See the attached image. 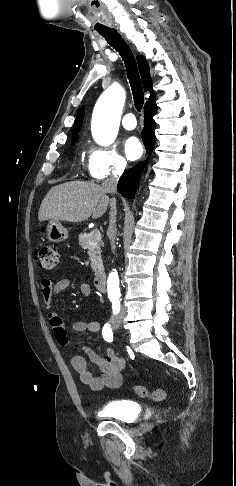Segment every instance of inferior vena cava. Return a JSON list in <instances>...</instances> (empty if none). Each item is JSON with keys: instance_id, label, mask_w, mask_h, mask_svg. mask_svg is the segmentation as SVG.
Listing matches in <instances>:
<instances>
[{"instance_id": "inferior-vena-cava-1", "label": "inferior vena cava", "mask_w": 236, "mask_h": 486, "mask_svg": "<svg viewBox=\"0 0 236 486\" xmlns=\"http://www.w3.org/2000/svg\"><path fill=\"white\" fill-rule=\"evenodd\" d=\"M126 167V161L120 160L115 164V170L113 171V176L111 178H107L103 181L102 186L105 188L109 193L114 194L116 192L117 188V182L119 179V176L124 172V169ZM110 221H109V226H108V235L110 238V245H111V250L113 253L116 251V245H115V237H116V215H117V208H116V199L112 198L110 201Z\"/></svg>"}]
</instances>
